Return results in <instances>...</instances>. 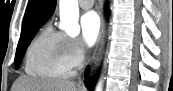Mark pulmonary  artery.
I'll use <instances>...</instances> for the list:
<instances>
[{
	"label": "pulmonary artery",
	"mask_w": 173,
	"mask_h": 91,
	"mask_svg": "<svg viewBox=\"0 0 173 91\" xmlns=\"http://www.w3.org/2000/svg\"><path fill=\"white\" fill-rule=\"evenodd\" d=\"M79 5L83 9H89L93 6L94 0H80L78 1Z\"/></svg>",
	"instance_id": "1"
}]
</instances>
